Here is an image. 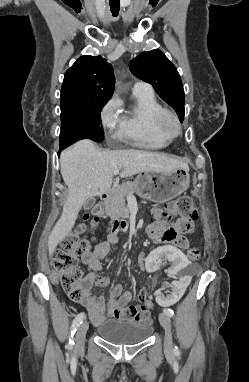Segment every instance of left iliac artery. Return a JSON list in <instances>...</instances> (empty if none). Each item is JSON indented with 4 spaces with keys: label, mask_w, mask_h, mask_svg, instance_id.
Returning <instances> with one entry per match:
<instances>
[{
    "label": "left iliac artery",
    "mask_w": 249,
    "mask_h": 382,
    "mask_svg": "<svg viewBox=\"0 0 249 382\" xmlns=\"http://www.w3.org/2000/svg\"><path fill=\"white\" fill-rule=\"evenodd\" d=\"M164 313L167 314L169 317L174 316V311L171 309H164ZM177 349V347H175Z\"/></svg>",
    "instance_id": "left-iliac-artery-1"
}]
</instances>
